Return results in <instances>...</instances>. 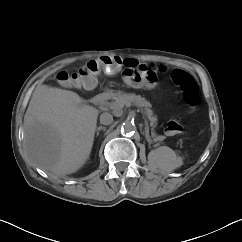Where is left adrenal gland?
I'll use <instances>...</instances> for the list:
<instances>
[{"instance_id": "left-adrenal-gland-1", "label": "left adrenal gland", "mask_w": 242, "mask_h": 242, "mask_svg": "<svg viewBox=\"0 0 242 242\" xmlns=\"http://www.w3.org/2000/svg\"><path fill=\"white\" fill-rule=\"evenodd\" d=\"M147 135H148V127L146 126V137H147Z\"/></svg>"}]
</instances>
